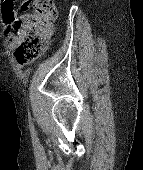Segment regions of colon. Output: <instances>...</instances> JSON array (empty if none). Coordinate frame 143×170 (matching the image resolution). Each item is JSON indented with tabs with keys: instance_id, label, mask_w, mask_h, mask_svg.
Wrapping results in <instances>:
<instances>
[{
	"instance_id": "obj_1",
	"label": "colon",
	"mask_w": 143,
	"mask_h": 170,
	"mask_svg": "<svg viewBox=\"0 0 143 170\" xmlns=\"http://www.w3.org/2000/svg\"><path fill=\"white\" fill-rule=\"evenodd\" d=\"M0 2L5 20L13 24L14 29L22 31L16 58L20 62H27L40 57L46 51L53 33L52 21L57 16L54 0H34V12L20 18L16 17L14 0Z\"/></svg>"
}]
</instances>
